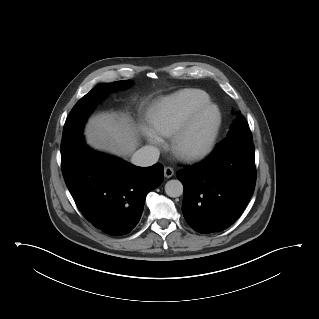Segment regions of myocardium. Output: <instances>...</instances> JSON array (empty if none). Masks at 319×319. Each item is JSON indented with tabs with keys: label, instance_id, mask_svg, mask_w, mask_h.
<instances>
[{
	"label": "myocardium",
	"instance_id": "f54148a6",
	"mask_svg": "<svg viewBox=\"0 0 319 319\" xmlns=\"http://www.w3.org/2000/svg\"><path fill=\"white\" fill-rule=\"evenodd\" d=\"M214 109L218 115L217 122L210 132L207 140L198 146H192L188 143L189 138L195 128L200 116L208 109ZM223 125V113L220 107L211 101L196 108L183 127L176 132L171 140V148L173 153L182 161L196 162L209 156L217 143L221 128Z\"/></svg>",
	"mask_w": 319,
	"mask_h": 319
}]
</instances>
